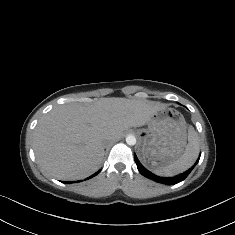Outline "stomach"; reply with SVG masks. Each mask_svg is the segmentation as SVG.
Here are the masks:
<instances>
[{
  "instance_id": "1",
  "label": "stomach",
  "mask_w": 235,
  "mask_h": 235,
  "mask_svg": "<svg viewBox=\"0 0 235 235\" xmlns=\"http://www.w3.org/2000/svg\"><path fill=\"white\" fill-rule=\"evenodd\" d=\"M141 140L138 154L146 167L155 169L179 158L186 147L187 124L174 108L154 112L147 128L137 130Z\"/></svg>"
}]
</instances>
